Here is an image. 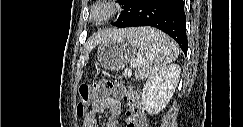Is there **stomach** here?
I'll list each match as a JSON object with an SVG mask.
<instances>
[{
	"label": "stomach",
	"mask_w": 243,
	"mask_h": 127,
	"mask_svg": "<svg viewBox=\"0 0 243 127\" xmlns=\"http://www.w3.org/2000/svg\"><path fill=\"white\" fill-rule=\"evenodd\" d=\"M135 54L136 47L127 38H121L101 44L97 58L103 68L115 71L132 62Z\"/></svg>",
	"instance_id": "stomach-1"
}]
</instances>
